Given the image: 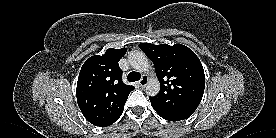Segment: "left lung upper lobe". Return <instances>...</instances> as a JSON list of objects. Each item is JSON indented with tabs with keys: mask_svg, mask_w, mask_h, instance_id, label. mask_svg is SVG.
Returning <instances> with one entry per match:
<instances>
[{
	"mask_svg": "<svg viewBox=\"0 0 276 138\" xmlns=\"http://www.w3.org/2000/svg\"><path fill=\"white\" fill-rule=\"evenodd\" d=\"M139 47L153 62L161 83L160 92L149 98L152 107L159 115L189 118L205 89V74L197 55L182 44L141 43Z\"/></svg>",
	"mask_w": 276,
	"mask_h": 138,
	"instance_id": "1",
	"label": "left lung upper lobe"
}]
</instances>
